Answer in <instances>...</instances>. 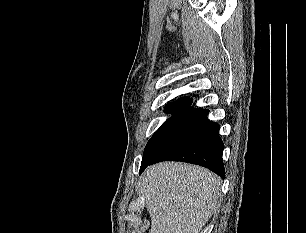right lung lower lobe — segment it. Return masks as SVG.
I'll use <instances>...</instances> for the list:
<instances>
[{
  "label": "right lung lower lobe",
  "mask_w": 306,
  "mask_h": 233,
  "mask_svg": "<svg viewBox=\"0 0 306 233\" xmlns=\"http://www.w3.org/2000/svg\"><path fill=\"white\" fill-rule=\"evenodd\" d=\"M208 113V110H204L153 159L142 164L140 173L148 165L170 160L197 164L225 178L222 160L224 144L219 136L220 126L208 120Z\"/></svg>",
  "instance_id": "98d812e1"
}]
</instances>
